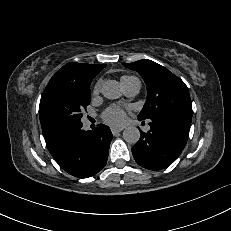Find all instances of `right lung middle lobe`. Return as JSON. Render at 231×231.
Returning <instances> with one entry per match:
<instances>
[{
  "mask_svg": "<svg viewBox=\"0 0 231 231\" xmlns=\"http://www.w3.org/2000/svg\"><path fill=\"white\" fill-rule=\"evenodd\" d=\"M90 100L89 85L48 83L39 105L41 126L57 132L81 123L82 112Z\"/></svg>",
  "mask_w": 231,
  "mask_h": 231,
  "instance_id": "1",
  "label": "right lung middle lobe"
}]
</instances>
